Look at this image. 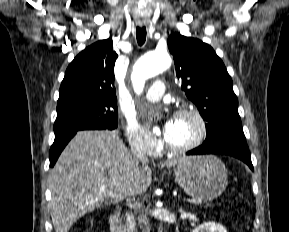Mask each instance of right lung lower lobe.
Wrapping results in <instances>:
<instances>
[{
  "label": "right lung lower lobe",
  "mask_w": 289,
  "mask_h": 232,
  "mask_svg": "<svg viewBox=\"0 0 289 232\" xmlns=\"http://www.w3.org/2000/svg\"><path fill=\"white\" fill-rule=\"evenodd\" d=\"M79 130L66 132L60 135L55 136V140L53 145L50 148L49 159H50V167H53L56 163L60 153L70 141V139L78 132Z\"/></svg>",
  "instance_id": "obj_1"
}]
</instances>
